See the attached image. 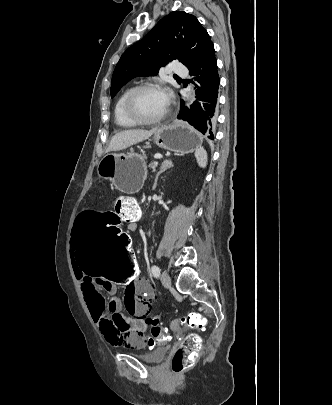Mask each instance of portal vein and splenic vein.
Wrapping results in <instances>:
<instances>
[{"mask_svg": "<svg viewBox=\"0 0 332 405\" xmlns=\"http://www.w3.org/2000/svg\"><path fill=\"white\" fill-rule=\"evenodd\" d=\"M155 158H156V159H161V158H162V155H160V154H159V155H155ZM155 163L157 164V162H155Z\"/></svg>", "mask_w": 332, "mask_h": 405, "instance_id": "portal-vein-and-splenic-vein-1", "label": "portal vein and splenic vein"}]
</instances>
